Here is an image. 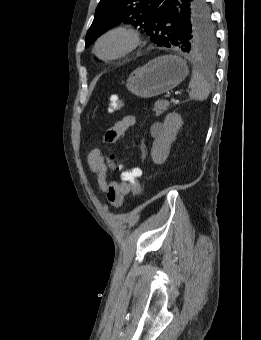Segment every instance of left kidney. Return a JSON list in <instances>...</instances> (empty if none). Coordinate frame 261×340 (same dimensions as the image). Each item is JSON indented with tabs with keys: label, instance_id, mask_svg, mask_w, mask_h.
I'll list each match as a JSON object with an SVG mask.
<instances>
[{
	"label": "left kidney",
	"instance_id": "left-kidney-1",
	"mask_svg": "<svg viewBox=\"0 0 261 340\" xmlns=\"http://www.w3.org/2000/svg\"><path fill=\"white\" fill-rule=\"evenodd\" d=\"M182 125L183 121L178 113H169L165 117L162 132L155 138L151 149V157L155 164L160 165L166 161Z\"/></svg>",
	"mask_w": 261,
	"mask_h": 340
}]
</instances>
